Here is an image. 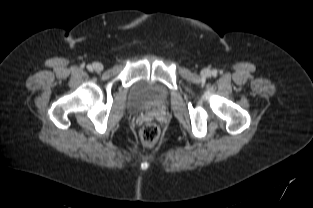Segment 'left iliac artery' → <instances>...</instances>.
Wrapping results in <instances>:
<instances>
[{
  "mask_svg": "<svg viewBox=\"0 0 313 208\" xmlns=\"http://www.w3.org/2000/svg\"><path fill=\"white\" fill-rule=\"evenodd\" d=\"M212 75H213V76H215V75H216V72H215V71H213V72H212Z\"/></svg>",
  "mask_w": 313,
  "mask_h": 208,
  "instance_id": "obj_1",
  "label": "left iliac artery"
}]
</instances>
